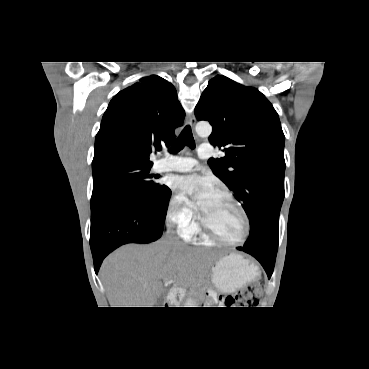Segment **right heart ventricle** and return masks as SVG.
I'll return each mask as SVG.
<instances>
[{"label": "right heart ventricle", "instance_id": "right-heart-ventricle-1", "mask_svg": "<svg viewBox=\"0 0 369 369\" xmlns=\"http://www.w3.org/2000/svg\"><path fill=\"white\" fill-rule=\"evenodd\" d=\"M197 235H199L205 242H207V243L209 242V240L206 237H204V235H202L201 231L199 230V228L197 226L195 227V229L190 234L185 235V236L188 237V238H191V237L197 236Z\"/></svg>", "mask_w": 369, "mask_h": 369}]
</instances>
